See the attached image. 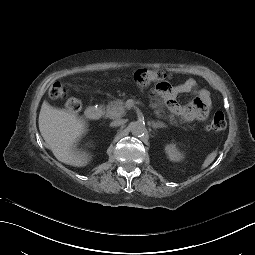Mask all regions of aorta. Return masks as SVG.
<instances>
[{"label": "aorta", "mask_w": 255, "mask_h": 255, "mask_svg": "<svg viewBox=\"0 0 255 255\" xmlns=\"http://www.w3.org/2000/svg\"><path fill=\"white\" fill-rule=\"evenodd\" d=\"M130 130L134 136H142L146 132V127L142 122H133L130 125Z\"/></svg>", "instance_id": "obj_1"}]
</instances>
